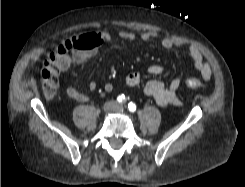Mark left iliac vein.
<instances>
[{"instance_id":"obj_1","label":"left iliac vein","mask_w":245,"mask_h":187,"mask_svg":"<svg viewBox=\"0 0 245 187\" xmlns=\"http://www.w3.org/2000/svg\"><path fill=\"white\" fill-rule=\"evenodd\" d=\"M117 111H123L124 110V105L122 104H117L116 107L114 108Z\"/></svg>"}]
</instances>
